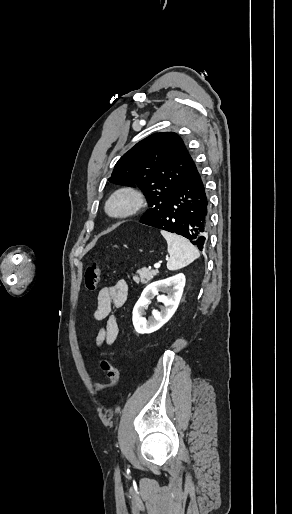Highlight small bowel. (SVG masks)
<instances>
[{
	"instance_id": "1",
	"label": "small bowel",
	"mask_w": 292,
	"mask_h": 514,
	"mask_svg": "<svg viewBox=\"0 0 292 514\" xmlns=\"http://www.w3.org/2000/svg\"><path fill=\"white\" fill-rule=\"evenodd\" d=\"M127 293L128 285L123 279L100 289L94 319L96 321H105V325L97 333V346L110 345L116 340L119 333V325L113 312L124 305Z\"/></svg>"
}]
</instances>
